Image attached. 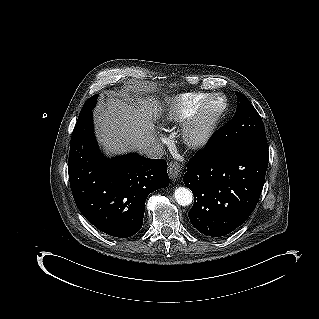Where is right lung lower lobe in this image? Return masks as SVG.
<instances>
[{
    "label": "right lung lower lobe",
    "instance_id": "obj_1",
    "mask_svg": "<svg viewBox=\"0 0 319 319\" xmlns=\"http://www.w3.org/2000/svg\"><path fill=\"white\" fill-rule=\"evenodd\" d=\"M166 165L138 154L108 160L97 147L92 112L75 125L68 161L73 197L83 216L110 236L141 229L147 196L169 185Z\"/></svg>",
    "mask_w": 319,
    "mask_h": 319
}]
</instances>
